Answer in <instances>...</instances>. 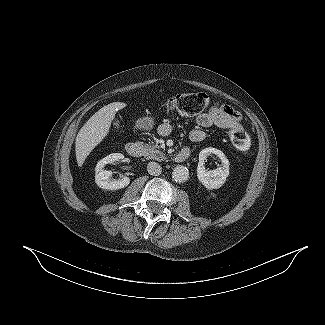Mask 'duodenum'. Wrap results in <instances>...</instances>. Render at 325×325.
I'll list each match as a JSON object with an SVG mask.
<instances>
[{
	"mask_svg": "<svg viewBox=\"0 0 325 325\" xmlns=\"http://www.w3.org/2000/svg\"><path fill=\"white\" fill-rule=\"evenodd\" d=\"M126 152L132 157H139L142 153V147L137 142H129L126 144ZM190 156V149L183 148L180 152L174 155L173 159L175 162L181 163L187 160Z\"/></svg>",
	"mask_w": 325,
	"mask_h": 325,
	"instance_id": "1",
	"label": "duodenum"
}]
</instances>
